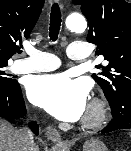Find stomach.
Listing matches in <instances>:
<instances>
[{"label": "stomach", "mask_w": 131, "mask_h": 151, "mask_svg": "<svg viewBox=\"0 0 131 151\" xmlns=\"http://www.w3.org/2000/svg\"><path fill=\"white\" fill-rule=\"evenodd\" d=\"M83 151H108V149L102 141L92 138L84 143Z\"/></svg>", "instance_id": "obj_1"}]
</instances>
